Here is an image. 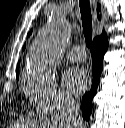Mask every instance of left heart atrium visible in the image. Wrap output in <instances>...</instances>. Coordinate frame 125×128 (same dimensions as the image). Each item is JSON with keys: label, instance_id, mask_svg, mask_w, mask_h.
Listing matches in <instances>:
<instances>
[{"label": "left heart atrium", "instance_id": "1", "mask_svg": "<svg viewBox=\"0 0 125 128\" xmlns=\"http://www.w3.org/2000/svg\"><path fill=\"white\" fill-rule=\"evenodd\" d=\"M89 78L84 69L74 67L69 69L63 77V85L72 94H80L88 85Z\"/></svg>", "mask_w": 125, "mask_h": 128}]
</instances>
